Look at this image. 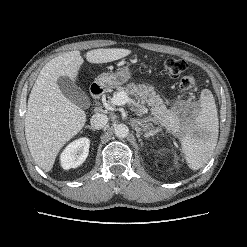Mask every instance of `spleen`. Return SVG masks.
Masks as SVG:
<instances>
[{
	"label": "spleen",
	"instance_id": "3e777b00",
	"mask_svg": "<svg viewBox=\"0 0 247 247\" xmlns=\"http://www.w3.org/2000/svg\"><path fill=\"white\" fill-rule=\"evenodd\" d=\"M219 121L212 93L205 89L200 97V109L192 128L181 141L188 166L203 167L210 159L218 140Z\"/></svg>",
	"mask_w": 247,
	"mask_h": 247
}]
</instances>
